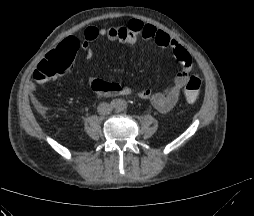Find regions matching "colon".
Instances as JSON below:
<instances>
[{"label":"colon","mask_w":254,"mask_h":216,"mask_svg":"<svg viewBox=\"0 0 254 216\" xmlns=\"http://www.w3.org/2000/svg\"><path fill=\"white\" fill-rule=\"evenodd\" d=\"M71 57L72 53L64 48L49 52L35 68L36 79L42 84L53 83L59 75L70 68ZM201 85V80L197 76H191L187 79L183 91L188 103L197 101Z\"/></svg>","instance_id":"5ec220e1"}]
</instances>
